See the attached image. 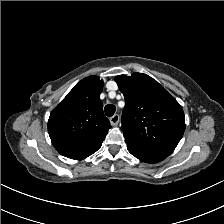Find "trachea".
Returning a JSON list of instances; mask_svg holds the SVG:
<instances>
[{"label":"trachea","mask_w":224,"mask_h":224,"mask_svg":"<svg viewBox=\"0 0 224 224\" xmlns=\"http://www.w3.org/2000/svg\"><path fill=\"white\" fill-rule=\"evenodd\" d=\"M104 111L108 117H111L114 115V113L116 111V107L114 105L109 104V105L105 106Z\"/></svg>","instance_id":"3493384b"}]
</instances>
